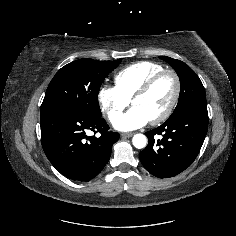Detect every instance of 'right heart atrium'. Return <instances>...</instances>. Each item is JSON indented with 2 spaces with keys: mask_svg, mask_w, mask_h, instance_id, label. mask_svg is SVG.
<instances>
[{
  "mask_svg": "<svg viewBox=\"0 0 236 236\" xmlns=\"http://www.w3.org/2000/svg\"><path fill=\"white\" fill-rule=\"evenodd\" d=\"M97 99L103 115L109 120H113L129 104V100L116 87L110 85H102L99 88Z\"/></svg>",
  "mask_w": 236,
  "mask_h": 236,
  "instance_id": "1",
  "label": "right heart atrium"
}]
</instances>
